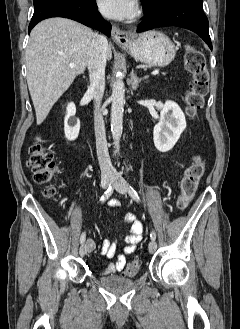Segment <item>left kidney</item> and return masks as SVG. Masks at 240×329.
<instances>
[{
	"label": "left kidney",
	"mask_w": 240,
	"mask_h": 329,
	"mask_svg": "<svg viewBox=\"0 0 240 329\" xmlns=\"http://www.w3.org/2000/svg\"><path fill=\"white\" fill-rule=\"evenodd\" d=\"M186 129V119L177 103L166 101L153 130L154 145L160 152L171 150Z\"/></svg>",
	"instance_id": "obj_1"
}]
</instances>
